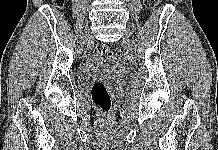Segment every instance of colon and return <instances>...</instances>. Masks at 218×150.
<instances>
[{
  "instance_id": "obj_1",
  "label": "colon",
  "mask_w": 218,
  "mask_h": 150,
  "mask_svg": "<svg viewBox=\"0 0 218 150\" xmlns=\"http://www.w3.org/2000/svg\"><path fill=\"white\" fill-rule=\"evenodd\" d=\"M55 2L58 5L64 4V0H55ZM144 2L150 10H155L160 0H144ZM96 55L99 59L104 61H111L114 57L112 49L103 43L96 47ZM91 98L93 103L103 112H108L111 109L112 98L104 82H94L91 88Z\"/></svg>"
}]
</instances>
